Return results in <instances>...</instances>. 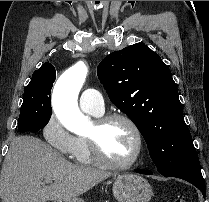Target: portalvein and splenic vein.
Masks as SVG:
<instances>
[{"instance_id":"18ae733b","label":"portal vein and splenic vein","mask_w":209,"mask_h":202,"mask_svg":"<svg viewBox=\"0 0 209 202\" xmlns=\"http://www.w3.org/2000/svg\"><path fill=\"white\" fill-rule=\"evenodd\" d=\"M44 181H45L46 183H51L53 180H52L51 178H45Z\"/></svg>"}]
</instances>
